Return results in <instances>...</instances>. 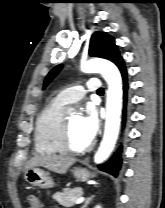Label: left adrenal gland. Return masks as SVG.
Segmentation results:
<instances>
[{"label":"left adrenal gland","instance_id":"1","mask_svg":"<svg viewBox=\"0 0 165 208\" xmlns=\"http://www.w3.org/2000/svg\"><path fill=\"white\" fill-rule=\"evenodd\" d=\"M93 198H94V195L87 197L84 201V204L81 206V208H86L89 205V203L92 201Z\"/></svg>","mask_w":165,"mask_h":208}]
</instances>
